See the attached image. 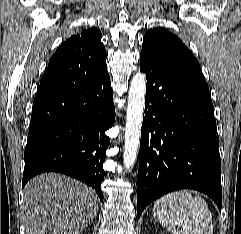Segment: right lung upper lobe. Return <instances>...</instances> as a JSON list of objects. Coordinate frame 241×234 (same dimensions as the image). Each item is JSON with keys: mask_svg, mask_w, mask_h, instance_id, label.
Returning a JSON list of instances; mask_svg holds the SVG:
<instances>
[{"mask_svg": "<svg viewBox=\"0 0 241 234\" xmlns=\"http://www.w3.org/2000/svg\"><path fill=\"white\" fill-rule=\"evenodd\" d=\"M102 34L96 28L82 30L63 42L51 57L36 95L84 84L107 71Z\"/></svg>", "mask_w": 241, "mask_h": 234, "instance_id": "1", "label": "right lung upper lobe"}]
</instances>
